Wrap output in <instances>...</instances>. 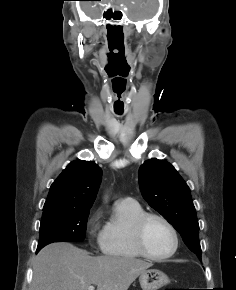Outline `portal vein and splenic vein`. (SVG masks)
Wrapping results in <instances>:
<instances>
[{
	"label": "portal vein and splenic vein",
	"mask_w": 236,
	"mask_h": 290,
	"mask_svg": "<svg viewBox=\"0 0 236 290\" xmlns=\"http://www.w3.org/2000/svg\"><path fill=\"white\" fill-rule=\"evenodd\" d=\"M94 289H95V288H94L93 285H91V286L88 287V290H94Z\"/></svg>",
	"instance_id": "portal-vein-and-splenic-vein-1"
}]
</instances>
